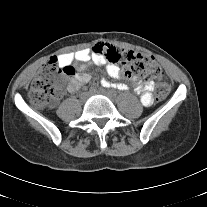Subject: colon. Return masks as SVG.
I'll return each instance as SVG.
<instances>
[{
  "label": "colon",
  "instance_id": "obj_1",
  "mask_svg": "<svg viewBox=\"0 0 207 207\" xmlns=\"http://www.w3.org/2000/svg\"><path fill=\"white\" fill-rule=\"evenodd\" d=\"M94 49L102 54L110 63L120 65L124 77H139L145 80H161L163 70L153 56L119 49L110 44L99 43ZM74 74L71 66H61L57 57H51L42 65L37 77L29 90V100L36 108L50 107L57 103L61 96V87ZM168 93V87L162 85L156 94V100L163 99Z\"/></svg>",
  "mask_w": 207,
  "mask_h": 207
}]
</instances>
